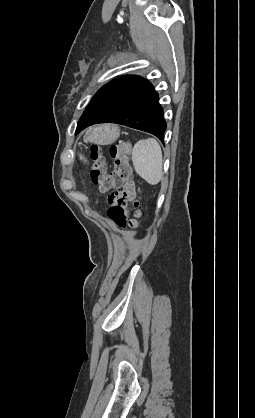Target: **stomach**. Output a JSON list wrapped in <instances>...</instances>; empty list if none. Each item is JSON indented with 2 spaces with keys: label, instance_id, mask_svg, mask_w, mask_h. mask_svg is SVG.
Listing matches in <instances>:
<instances>
[{
  "label": "stomach",
  "instance_id": "obj_1",
  "mask_svg": "<svg viewBox=\"0 0 255 418\" xmlns=\"http://www.w3.org/2000/svg\"><path fill=\"white\" fill-rule=\"evenodd\" d=\"M118 137L119 130L112 125L97 126L86 133L87 141L101 145L113 143Z\"/></svg>",
  "mask_w": 255,
  "mask_h": 418
}]
</instances>
